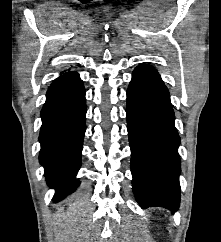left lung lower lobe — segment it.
I'll return each instance as SVG.
<instances>
[{
  "label": "left lung lower lobe",
  "mask_w": 221,
  "mask_h": 242,
  "mask_svg": "<svg viewBox=\"0 0 221 242\" xmlns=\"http://www.w3.org/2000/svg\"><path fill=\"white\" fill-rule=\"evenodd\" d=\"M133 192L142 208L176 211L180 204V137L167 87L152 67L139 65L127 90Z\"/></svg>",
  "instance_id": "0a47b994"
}]
</instances>
